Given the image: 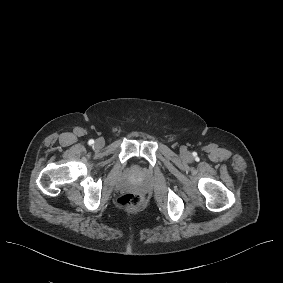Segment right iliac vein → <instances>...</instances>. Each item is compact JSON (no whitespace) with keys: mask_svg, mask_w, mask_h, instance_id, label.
Instances as JSON below:
<instances>
[{"mask_svg":"<svg viewBox=\"0 0 283 283\" xmlns=\"http://www.w3.org/2000/svg\"><path fill=\"white\" fill-rule=\"evenodd\" d=\"M104 145H105V141L103 140V139H97L96 141H95V147L96 148H103L104 147Z\"/></svg>","mask_w":283,"mask_h":283,"instance_id":"right-iliac-vein-1","label":"right iliac vein"}]
</instances>
